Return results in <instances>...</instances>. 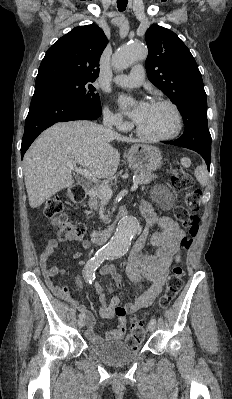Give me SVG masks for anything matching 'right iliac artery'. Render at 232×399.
I'll return each mask as SVG.
<instances>
[{"label": "right iliac artery", "mask_w": 232, "mask_h": 399, "mask_svg": "<svg viewBox=\"0 0 232 399\" xmlns=\"http://www.w3.org/2000/svg\"><path fill=\"white\" fill-rule=\"evenodd\" d=\"M104 255H94L90 258L83 266L82 273L85 281L92 285L95 280V272L100 264L104 261ZM83 315H79V319H82Z\"/></svg>", "instance_id": "82829eb1"}]
</instances>
